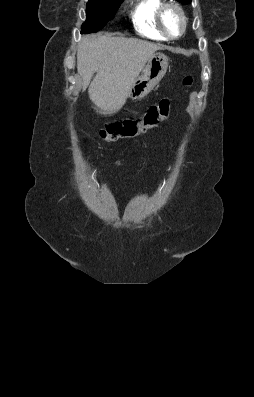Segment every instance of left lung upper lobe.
<instances>
[{"mask_svg": "<svg viewBox=\"0 0 254 397\" xmlns=\"http://www.w3.org/2000/svg\"><path fill=\"white\" fill-rule=\"evenodd\" d=\"M177 1L182 2V3H184V4H188V3L191 2V0H177Z\"/></svg>", "mask_w": 254, "mask_h": 397, "instance_id": "1", "label": "left lung upper lobe"}]
</instances>
